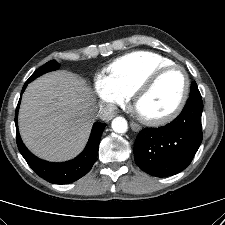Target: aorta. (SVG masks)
Instances as JSON below:
<instances>
[{"mask_svg": "<svg viewBox=\"0 0 225 225\" xmlns=\"http://www.w3.org/2000/svg\"><path fill=\"white\" fill-rule=\"evenodd\" d=\"M112 129L116 133H125L128 130V124L125 118L119 116L112 120Z\"/></svg>", "mask_w": 225, "mask_h": 225, "instance_id": "1", "label": "aorta"}]
</instances>
